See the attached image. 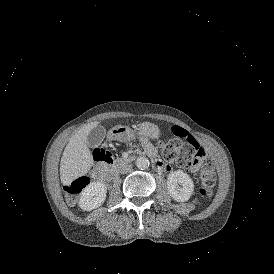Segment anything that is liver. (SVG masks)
<instances>
[{
    "instance_id": "1",
    "label": "liver",
    "mask_w": 274,
    "mask_h": 274,
    "mask_svg": "<svg viewBox=\"0 0 274 274\" xmlns=\"http://www.w3.org/2000/svg\"><path fill=\"white\" fill-rule=\"evenodd\" d=\"M96 125V122L84 125L71 137L65 147L60 166V179L63 184H71L73 180L83 176L92 165L86 138Z\"/></svg>"
}]
</instances>
